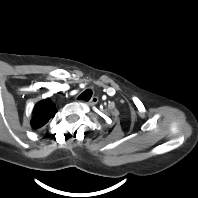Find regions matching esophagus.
Masks as SVG:
<instances>
[{
    "label": "esophagus",
    "mask_w": 198,
    "mask_h": 198,
    "mask_svg": "<svg viewBox=\"0 0 198 198\" xmlns=\"http://www.w3.org/2000/svg\"><path fill=\"white\" fill-rule=\"evenodd\" d=\"M99 101V98L97 96H94L91 98V100L88 102V105L93 106L96 105Z\"/></svg>",
    "instance_id": "esophagus-1"
}]
</instances>
